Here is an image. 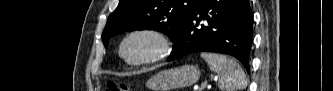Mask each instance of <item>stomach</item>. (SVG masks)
Masks as SVG:
<instances>
[{
  "label": "stomach",
  "mask_w": 333,
  "mask_h": 91,
  "mask_svg": "<svg viewBox=\"0 0 333 91\" xmlns=\"http://www.w3.org/2000/svg\"><path fill=\"white\" fill-rule=\"evenodd\" d=\"M199 77L200 71L196 66L184 65L155 74L147 81L146 86L152 91H170L189 87L195 84Z\"/></svg>",
  "instance_id": "stomach-1"
}]
</instances>
